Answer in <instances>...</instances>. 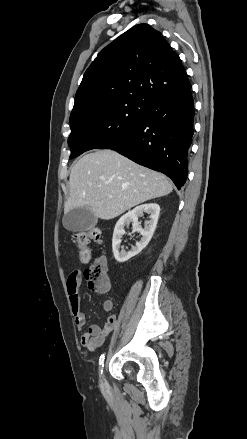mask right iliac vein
<instances>
[{"instance_id":"63e3f726","label":"right iliac vein","mask_w":247,"mask_h":439,"mask_svg":"<svg viewBox=\"0 0 247 439\" xmlns=\"http://www.w3.org/2000/svg\"><path fill=\"white\" fill-rule=\"evenodd\" d=\"M102 372H103V369H102ZM102 372H101V374H102ZM101 378H102L101 379V385L103 386L104 385V375L103 374L101 375Z\"/></svg>"}]
</instances>
